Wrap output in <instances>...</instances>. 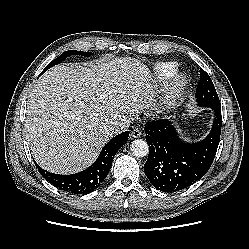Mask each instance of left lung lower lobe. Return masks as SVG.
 <instances>
[{"instance_id": "0a47b994", "label": "left lung lower lobe", "mask_w": 249, "mask_h": 249, "mask_svg": "<svg viewBox=\"0 0 249 249\" xmlns=\"http://www.w3.org/2000/svg\"><path fill=\"white\" fill-rule=\"evenodd\" d=\"M215 118L211 132L202 141L185 143L171 121H152L145 127L149 155L144 171L153 186L175 192L200 180L209 170L220 141L221 105L212 108Z\"/></svg>"}]
</instances>
